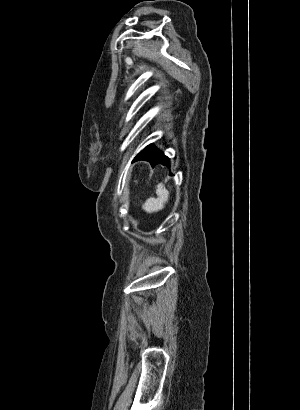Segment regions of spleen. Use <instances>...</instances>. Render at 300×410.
<instances>
[{
	"instance_id": "3e777b00",
	"label": "spleen",
	"mask_w": 300,
	"mask_h": 410,
	"mask_svg": "<svg viewBox=\"0 0 300 410\" xmlns=\"http://www.w3.org/2000/svg\"><path fill=\"white\" fill-rule=\"evenodd\" d=\"M156 194L157 198H148L142 206V208L148 213L161 210L164 207V204L168 201L169 192L162 183L157 185Z\"/></svg>"
}]
</instances>
